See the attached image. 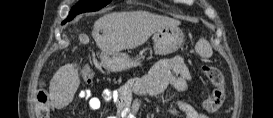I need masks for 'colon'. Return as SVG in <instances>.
<instances>
[{
	"label": "colon",
	"mask_w": 273,
	"mask_h": 118,
	"mask_svg": "<svg viewBox=\"0 0 273 118\" xmlns=\"http://www.w3.org/2000/svg\"><path fill=\"white\" fill-rule=\"evenodd\" d=\"M205 76L214 85L212 95L205 101L204 109L208 112L219 110L225 100L224 77L219 69L210 66H202ZM82 78L86 83H92L94 79L93 72L87 67L81 68ZM52 107L48 93L44 89L38 91L37 115L39 118H48Z\"/></svg>",
	"instance_id": "obj_1"
}]
</instances>
